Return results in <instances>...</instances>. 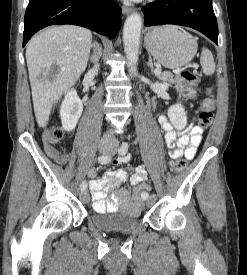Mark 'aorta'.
I'll return each mask as SVG.
<instances>
[{
	"label": "aorta",
	"instance_id": "aorta-1",
	"mask_svg": "<svg viewBox=\"0 0 247 275\" xmlns=\"http://www.w3.org/2000/svg\"><path fill=\"white\" fill-rule=\"evenodd\" d=\"M141 28L142 18L139 13H132L127 17L123 28V43L129 73L132 75L137 73Z\"/></svg>",
	"mask_w": 247,
	"mask_h": 275
}]
</instances>
